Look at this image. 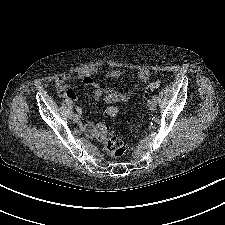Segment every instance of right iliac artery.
<instances>
[{
	"mask_svg": "<svg viewBox=\"0 0 225 225\" xmlns=\"http://www.w3.org/2000/svg\"><path fill=\"white\" fill-rule=\"evenodd\" d=\"M77 110H79L78 108H77ZM74 116V113L73 112H71V117H73Z\"/></svg>",
	"mask_w": 225,
	"mask_h": 225,
	"instance_id": "82829eb1",
	"label": "right iliac artery"
}]
</instances>
